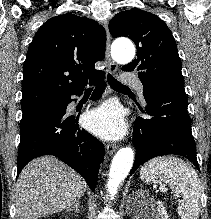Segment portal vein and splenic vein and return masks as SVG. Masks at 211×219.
Here are the masks:
<instances>
[{
    "label": "portal vein and splenic vein",
    "mask_w": 211,
    "mask_h": 219,
    "mask_svg": "<svg viewBox=\"0 0 211 219\" xmlns=\"http://www.w3.org/2000/svg\"><path fill=\"white\" fill-rule=\"evenodd\" d=\"M164 191H166V188H164V187L161 188V192H164Z\"/></svg>",
    "instance_id": "1"
}]
</instances>
